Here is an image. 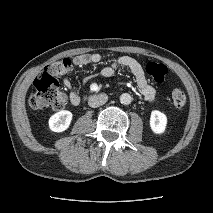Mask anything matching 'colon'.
Here are the masks:
<instances>
[{
    "label": "colon",
    "mask_w": 213,
    "mask_h": 213,
    "mask_svg": "<svg viewBox=\"0 0 213 213\" xmlns=\"http://www.w3.org/2000/svg\"><path fill=\"white\" fill-rule=\"evenodd\" d=\"M71 68V61L67 58L56 60L45 67L35 81V89L29 99L34 110H61L66 106L67 97L61 91L57 77L64 75ZM146 72L156 82L165 80L168 69L165 65L150 62L146 65ZM173 106L182 110L186 105V96L180 89H174L171 94Z\"/></svg>",
    "instance_id": "1"
}]
</instances>
